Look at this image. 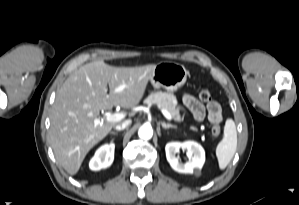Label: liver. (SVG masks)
<instances>
[{"label": "liver", "instance_id": "1", "mask_svg": "<svg viewBox=\"0 0 299 205\" xmlns=\"http://www.w3.org/2000/svg\"><path fill=\"white\" fill-rule=\"evenodd\" d=\"M155 67L154 64L114 67L94 61L66 79L52 109L49 138L56 160L69 174L79 171L90 149L118 124L108 121L95 124L100 111L138 105ZM119 87L123 89L117 92Z\"/></svg>", "mask_w": 299, "mask_h": 205}]
</instances>
